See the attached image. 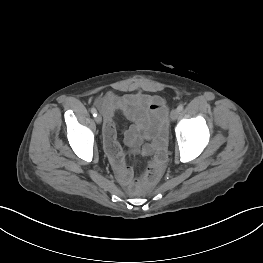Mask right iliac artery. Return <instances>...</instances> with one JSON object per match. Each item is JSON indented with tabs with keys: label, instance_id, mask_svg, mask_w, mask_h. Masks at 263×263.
Masks as SVG:
<instances>
[{
	"label": "right iliac artery",
	"instance_id": "right-iliac-artery-1",
	"mask_svg": "<svg viewBox=\"0 0 263 263\" xmlns=\"http://www.w3.org/2000/svg\"><path fill=\"white\" fill-rule=\"evenodd\" d=\"M91 113L94 117L97 116V110L94 107L91 108Z\"/></svg>",
	"mask_w": 263,
	"mask_h": 263
}]
</instances>
